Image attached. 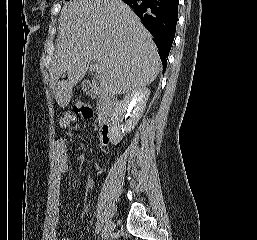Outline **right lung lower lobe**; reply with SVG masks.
Segmentation results:
<instances>
[{
	"label": "right lung lower lobe",
	"instance_id": "obj_1",
	"mask_svg": "<svg viewBox=\"0 0 257 240\" xmlns=\"http://www.w3.org/2000/svg\"><path fill=\"white\" fill-rule=\"evenodd\" d=\"M128 4L152 34L166 69L178 20L179 0H122Z\"/></svg>",
	"mask_w": 257,
	"mask_h": 240
}]
</instances>
